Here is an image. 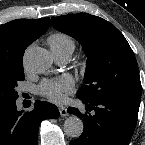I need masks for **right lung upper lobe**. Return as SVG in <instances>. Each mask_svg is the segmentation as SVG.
<instances>
[{
    "mask_svg": "<svg viewBox=\"0 0 145 145\" xmlns=\"http://www.w3.org/2000/svg\"><path fill=\"white\" fill-rule=\"evenodd\" d=\"M49 18L13 20L0 25V78L23 67L25 49L49 28Z\"/></svg>",
    "mask_w": 145,
    "mask_h": 145,
    "instance_id": "right-lung-upper-lobe-1",
    "label": "right lung upper lobe"
}]
</instances>
